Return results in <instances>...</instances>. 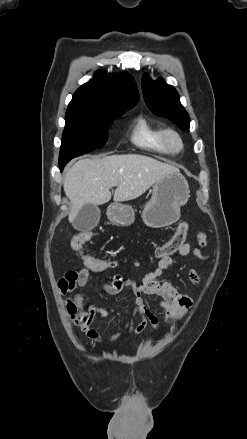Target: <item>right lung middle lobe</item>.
<instances>
[{"label":"right lung middle lobe","instance_id":"1","mask_svg":"<svg viewBox=\"0 0 247 439\" xmlns=\"http://www.w3.org/2000/svg\"><path fill=\"white\" fill-rule=\"evenodd\" d=\"M127 110L106 114L66 112L59 156L60 170L74 157L102 147L107 141L113 120Z\"/></svg>","mask_w":247,"mask_h":439}]
</instances>
